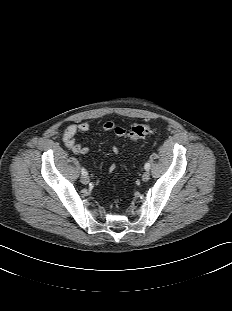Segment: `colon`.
I'll use <instances>...</instances> for the list:
<instances>
[{
	"mask_svg": "<svg viewBox=\"0 0 232 311\" xmlns=\"http://www.w3.org/2000/svg\"><path fill=\"white\" fill-rule=\"evenodd\" d=\"M154 132V129L147 124L134 125L127 133V138L131 141L137 142L146 138Z\"/></svg>",
	"mask_w": 232,
	"mask_h": 311,
	"instance_id": "obj_1",
	"label": "colon"
}]
</instances>
